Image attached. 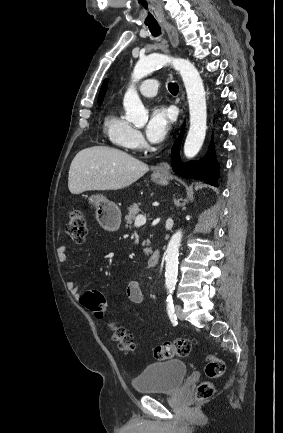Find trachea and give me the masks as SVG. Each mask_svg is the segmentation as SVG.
Listing matches in <instances>:
<instances>
[{
	"label": "trachea",
	"instance_id": "3493384b",
	"mask_svg": "<svg viewBox=\"0 0 283 433\" xmlns=\"http://www.w3.org/2000/svg\"><path fill=\"white\" fill-rule=\"evenodd\" d=\"M148 28L154 37H157L161 34V29H160L159 25H148ZM168 89H169V92L172 93L173 95L178 94L179 87H178L177 83H169Z\"/></svg>",
	"mask_w": 283,
	"mask_h": 433
}]
</instances>
